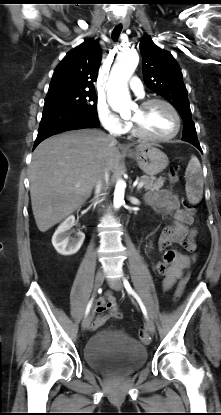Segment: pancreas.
I'll use <instances>...</instances> for the list:
<instances>
[{
  "label": "pancreas",
  "mask_w": 221,
  "mask_h": 415,
  "mask_svg": "<svg viewBox=\"0 0 221 415\" xmlns=\"http://www.w3.org/2000/svg\"><path fill=\"white\" fill-rule=\"evenodd\" d=\"M140 181L144 182L145 190L155 191L162 188L165 179L162 177L156 179L155 177L142 176Z\"/></svg>",
  "instance_id": "cf45deb5"
}]
</instances>
